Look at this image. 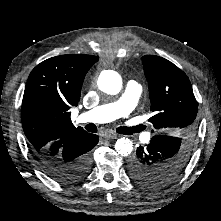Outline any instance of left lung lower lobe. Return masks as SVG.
<instances>
[{"instance_id":"0a47b994","label":"left lung lower lobe","mask_w":221,"mask_h":221,"mask_svg":"<svg viewBox=\"0 0 221 221\" xmlns=\"http://www.w3.org/2000/svg\"><path fill=\"white\" fill-rule=\"evenodd\" d=\"M168 140H170L169 136L156 135L152 137L151 142L148 145L139 146L137 148L136 155L129 163V172L135 181L140 183L139 181L141 180V176L162 173V170L160 169V160L162 158V154L165 152L166 146L164 144ZM170 182H165V185ZM148 185L149 187L158 188L155 184L150 182Z\"/></svg>"}]
</instances>
